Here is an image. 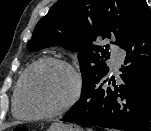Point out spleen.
Here are the masks:
<instances>
[{
	"label": "spleen",
	"instance_id": "1",
	"mask_svg": "<svg viewBox=\"0 0 151 131\" xmlns=\"http://www.w3.org/2000/svg\"><path fill=\"white\" fill-rule=\"evenodd\" d=\"M87 131H92L91 129H88Z\"/></svg>",
	"mask_w": 151,
	"mask_h": 131
}]
</instances>
